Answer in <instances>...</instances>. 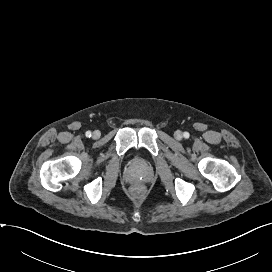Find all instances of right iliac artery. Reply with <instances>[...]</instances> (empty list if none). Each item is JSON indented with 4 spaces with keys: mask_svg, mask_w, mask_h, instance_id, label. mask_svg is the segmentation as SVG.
<instances>
[{
    "mask_svg": "<svg viewBox=\"0 0 272 272\" xmlns=\"http://www.w3.org/2000/svg\"><path fill=\"white\" fill-rule=\"evenodd\" d=\"M86 136H87V137H91V131H87V132H86Z\"/></svg>",
    "mask_w": 272,
    "mask_h": 272,
    "instance_id": "1",
    "label": "right iliac artery"
}]
</instances>
